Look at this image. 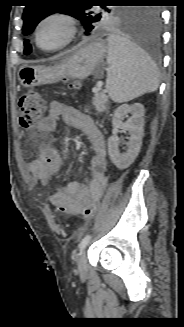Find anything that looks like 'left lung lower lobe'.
Segmentation results:
<instances>
[{"mask_svg": "<svg viewBox=\"0 0 184 327\" xmlns=\"http://www.w3.org/2000/svg\"><path fill=\"white\" fill-rule=\"evenodd\" d=\"M161 15L153 8L143 9L135 25V41L145 52L156 56L160 50ZM88 35V34H87Z\"/></svg>", "mask_w": 184, "mask_h": 327, "instance_id": "0a47b994", "label": "left lung lower lobe"}]
</instances>
